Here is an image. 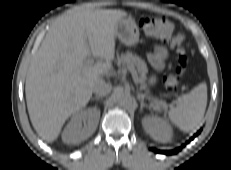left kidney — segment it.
Masks as SVG:
<instances>
[{
  "mask_svg": "<svg viewBox=\"0 0 231 170\" xmlns=\"http://www.w3.org/2000/svg\"><path fill=\"white\" fill-rule=\"evenodd\" d=\"M142 125L154 140L166 143L172 138V128L170 124L159 117L145 116L142 120Z\"/></svg>",
  "mask_w": 231,
  "mask_h": 170,
  "instance_id": "1",
  "label": "left kidney"
}]
</instances>
